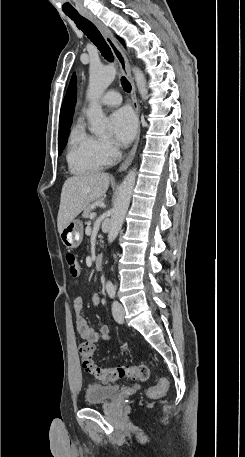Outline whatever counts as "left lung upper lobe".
I'll use <instances>...</instances> for the list:
<instances>
[{
  "label": "left lung upper lobe",
  "mask_w": 245,
  "mask_h": 457,
  "mask_svg": "<svg viewBox=\"0 0 245 457\" xmlns=\"http://www.w3.org/2000/svg\"><path fill=\"white\" fill-rule=\"evenodd\" d=\"M119 40L121 41L122 44H124L123 40L119 38Z\"/></svg>",
  "instance_id": "left-lung-upper-lobe-1"
}]
</instances>
